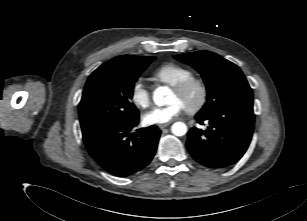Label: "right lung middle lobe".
Masks as SVG:
<instances>
[{
    "label": "right lung middle lobe",
    "instance_id": "right-lung-middle-lobe-1",
    "mask_svg": "<svg viewBox=\"0 0 307 221\" xmlns=\"http://www.w3.org/2000/svg\"><path fill=\"white\" fill-rule=\"evenodd\" d=\"M154 59L145 57L133 64L96 69L89 76L79 103L83 139L139 117L138 109L130 102L134 83Z\"/></svg>",
    "mask_w": 307,
    "mask_h": 221
}]
</instances>
